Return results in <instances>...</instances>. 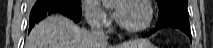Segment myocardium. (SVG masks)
<instances>
[{"instance_id": "f54148a6", "label": "myocardium", "mask_w": 213, "mask_h": 48, "mask_svg": "<svg viewBox=\"0 0 213 48\" xmlns=\"http://www.w3.org/2000/svg\"><path fill=\"white\" fill-rule=\"evenodd\" d=\"M126 3H137V4L142 5L147 11V19L142 26H139L136 28H130V27L126 26L121 21V19H119L118 25H119L120 29L129 34H138V33H141L143 31L147 30L151 26L152 20L154 17V10H153L151 4L149 3V1H147V0H128V1H126Z\"/></svg>"}]
</instances>
